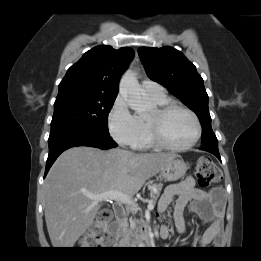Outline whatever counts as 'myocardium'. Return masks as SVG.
<instances>
[{"mask_svg": "<svg viewBox=\"0 0 261 261\" xmlns=\"http://www.w3.org/2000/svg\"><path fill=\"white\" fill-rule=\"evenodd\" d=\"M175 109H179L188 113L192 117L195 124V135L193 139L189 143L182 146L172 145L168 143L163 138L161 133V128H160L161 120L168 113H170ZM146 123L148 127L149 136L153 145L168 151H174V152L186 151L196 145V143L199 141L202 134V126L197 114L192 109L177 102H167L163 105L156 106L153 110V117H146Z\"/></svg>", "mask_w": 261, "mask_h": 261, "instance_id": "obj_1", "label": "myocardium"}]
</instances>
